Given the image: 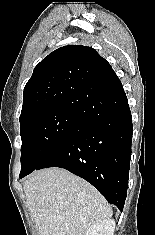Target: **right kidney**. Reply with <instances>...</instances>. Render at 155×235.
<instances>
[{"label": "right kidney", "instance_id": "right-kidney-1", "mask_svg": "<svg viewBox=\"0 0 155 235\" xmlns=\"http://www.w3.org/2000/svg\"><path fill=\"white\" fill-rule=\"evenodd\" d=\"M115 221L105 219L92 225L84 235H114Z\"/></svg>", "mask_w": 155, "mask_h": 235}]
</instances>
